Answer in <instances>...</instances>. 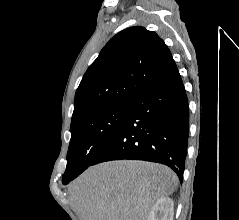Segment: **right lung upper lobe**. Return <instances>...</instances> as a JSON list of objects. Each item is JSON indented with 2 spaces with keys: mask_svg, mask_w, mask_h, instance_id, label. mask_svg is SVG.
<instances>
[{
  "mask_svg": "<svg viewBox=\"0 0 239 220\" xmlns=\"http://www.w3.org/2000/svg\"><path fill=\"white\" fill-rule=\"evenodd\" d=\"M176 68L156 33L139 26L119 32L84 74L75 94L72 122L97 110L130 104Z\"/></svg>",
  "mask_w": 239,
  "mask_h": 220,
  "instance_id": "cb5924a9",
  "label": "right lung upper lobe"
}]
</instances>
